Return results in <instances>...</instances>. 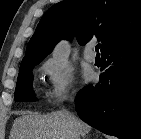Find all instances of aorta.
<instances>
[{
	"label": "aorta",
	"instance_id": "obj_1",
	"mask_svg": "<svg viewBox=\"0 0 141 139\" xmlns=\"http://www.w3.org/2000/svg\"><path fill=\"white\" fill-rule=\"evenodd\" d=\"M69 57V45L66 42L57 44L52 52V59L56 66L63 67L66 65Z\"/></svg>",
	"mask_w": 141,
	"mask_h": 139
}]
</instances>
